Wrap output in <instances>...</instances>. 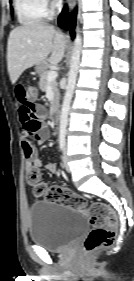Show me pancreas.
I'll return each instance as SVG.
<instances>
[{"label":"pancreas","instance_id":"obj_1","mask_svg":"<svg viewBox=\"0 0 134 281\" xmlns=\"http://www.w3.org/2000/svg\"><path fill=\"white\" fill-rule=\"evenodd\" d=\"M51 70L44 69L40 74L39 87L42 91H45L49 81L47 80V75ZM50 86L54 93V98L50 106V111L53 112L57 109L59 103V89L57 88V82L55 80L50 82Z\"/></svg>","mask_w":134,"mask_h":281}]
</instances>
